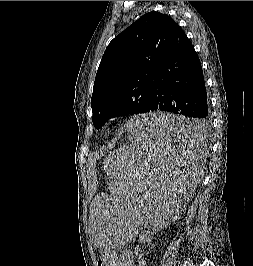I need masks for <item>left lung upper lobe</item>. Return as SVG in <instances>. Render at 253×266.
Returning a JSON list of instances; mask_svg holds the SVG:
<instances>
[{
	"mask_svg": "<svg viewBox=\"0 0 253 266\" xmlns=\"http://www.w3.org/2000/svg\"><path fill=\"white\" fill-rule=\"evenodd\" d=\"M176 26L168 15L153 11L110 42L93 86L95 128H101L109 118L146 113L158 60Z\"/></svg>",
	"mask_w": 253,
	"mask_h": 266,
	"instance_id": "obj_1",
	"label": "left lung upper lobe"
}]
</instances>
